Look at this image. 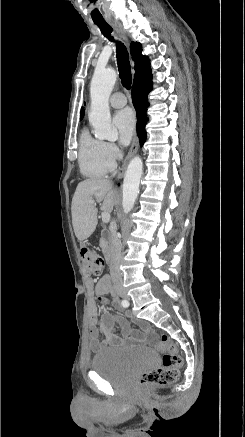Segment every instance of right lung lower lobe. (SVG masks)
Returning <instances> with one entry per match:
<instances>
[{
	"label": "right lung lower lobe",
	"instance_id": "obj_1",
	"mask_svg": "<svg viewBox=\"0 0 245 437\" xmlns=\"http://www.w3.org/2000/svg\"><path fill=\"white\" fill-rule=\"evenodd\" d=\"M152 89L151 79L138 82L132 87V101L137 113V135L140 144L142 145L146 140L145 125L147 122L146 109L149 105L147 95Z\"/></svg>",
	"mask_w": 245,
	"mask_h": 437
}]
</instances>
